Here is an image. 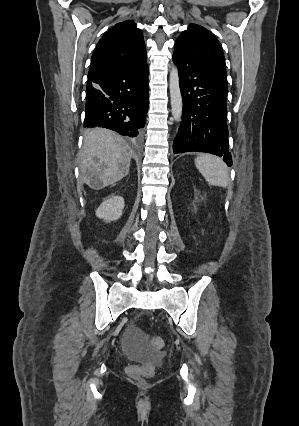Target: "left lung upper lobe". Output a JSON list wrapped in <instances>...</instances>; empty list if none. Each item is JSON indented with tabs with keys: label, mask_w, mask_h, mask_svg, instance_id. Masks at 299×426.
I'll return each mask as SVG.
<instances>
[{
	"label": "left lung upper lobe",
	"mask_w": 299,
	"mask_h": 426,
	"mask_svg": "<svg viewBox=\"0 0 299 426\" xmlns=\"http://www.w3.org/2000/svg\"><path fill=\"white\" fill-rule=\"evenodd\" d=\"M175 50L190 61L206 67L219 81L227 85L223 49L213 33L202 26L190 24L177 38Z\"/></svg>",
	"instance_id": "1"
}]
</instances>
